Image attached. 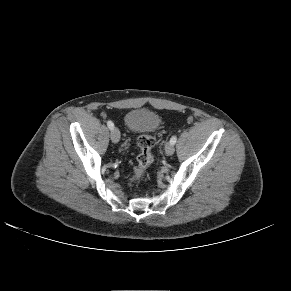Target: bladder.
<instances>
[{"mask_svg":"<svg viewBox=\"0 0 291 291\" xmlns=\"http://www.w3.org/2000/svg\"><path fill=\"white\" fill-rule=\"evenodd\" d=\"M127 128L133 133H146L155 130L160 124L159 116L147 109H133L124 118Z\"/></svg>","mask_w":291,"mask_h":291,"instance_id":"1","label":"bladder"}]
</instances>
